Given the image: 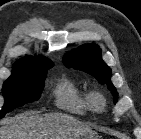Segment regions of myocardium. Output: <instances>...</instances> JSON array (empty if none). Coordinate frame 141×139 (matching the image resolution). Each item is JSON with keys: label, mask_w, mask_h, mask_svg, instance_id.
I'll return each mask as SVG.
<instances>
[{"label": "myocardium", "mask_w": 141, "mask_h": 139, "mask_svg": "<svg viewBox=\"0 0 141 139\" xmlns=\"http://www.w3.org/2000/svg\"><path fill=\"white\" fill-rule=\"evenodd\" d=\"M94 106L97 111L103 110L105 107L106 101L105 98L101 94H94Z\"/></svg>", "instance_id": "1"}]
</instances>
